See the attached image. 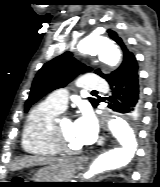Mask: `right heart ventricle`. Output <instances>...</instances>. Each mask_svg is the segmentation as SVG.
I'll list each match as a JSON object with an SVG mask.
<instances>
[{"mask_svg":"<svg viewBox=\"0 0 160 187\" xmlns=\"http://www.w3.org/2000/svg\"><path fill=\"white\" fill-rule=\"evenodd\" d=\"M62 110L47 100L37 104L29 112L22 133V148L31 155L52 157L58 155L53 139L52 124Z\"/></svg>","mask_w":160,"mask_h":187,"instance_id":"e07e8e85","label":"right heart ventricle"}]
</instances>
